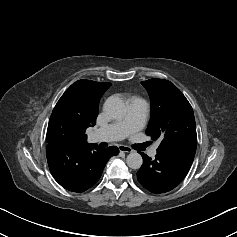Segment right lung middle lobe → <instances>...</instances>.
I'll return each mask as SVG.
<instances>
[{"mask_svg":"<svg viewBox=\"0 0 237 237\" xmlns=\"http://www.w3.org/2000/svg\"><path fill=\"white\" fill-rule=\"evenodd\" d=\"M46 140L47 143L73 144L75 128L64 115L53 111L48 124Z\"/></svg>","mask_w":237,"mask_h":237,"instance_id":"obj_1","label":"right lung middle lobe"}]
</instances>
